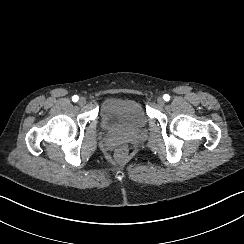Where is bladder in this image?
<instances>
[{
	"mask_svg": "<svg viewBox=\"0 0 244 244\" xmlns=\"http://www.w3.org/2000/svg\"><path fill=\"white\" fill-rule=\"evenodd\" d=\"M101 119L113 130L140 132L148 122L144 109L134 100L112 97L101 106Z\"/></svg>",
	"mask_w": 244,
	"mask_h": 244,
	"instance_id": "31cf9c89",
	"label": "bladder"
}]
</instances>
